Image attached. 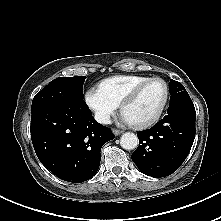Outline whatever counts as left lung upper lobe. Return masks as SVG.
<instances>
[{
    "instance_id": "obj_1",
    "label": "left lung upper lobe",
    "mask_w": 221,
    "mask_h": 221,
    "mask_svg": "<svg viewBox=\"0 0 221 221\" xmlns=\"http://www.w3.org/2000/svg\"><path fill=\"white\" fill-rule=\"evenodd\" d=\"M169 88L171 93L170 104H176L190 100V96L181 83L171 79Z\"/></svg>"
}]
</instances>
